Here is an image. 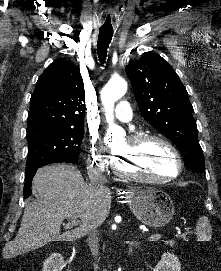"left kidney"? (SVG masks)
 Returning a JSON list of instances; mask_svg holds the SVG:
<instances>
[{"label": "left kidney", "instance_id": "obj_1", "mask_svg": "<svg viewBox=\"0 0 221 271\" xmlns=\"http://www.w3.org/2000/svg\"><path fill=\"white\" fill-rule=\"evenodd\" d=\"M153 271H181V263L174 253L165 251L157 265L153 267Z\"/></svg>", "mask_w": 221, "mask_h": 271}]
</instances>
